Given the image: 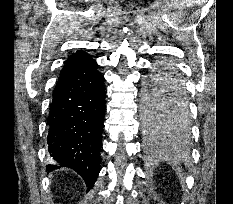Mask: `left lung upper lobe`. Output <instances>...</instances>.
Segmentation results:
<instances>
[{
  "label": "left lung upper lobe",
  "mask_w": 233,
  "mask_h": 204,
  "mask_svg": "<svg viewBox=\"0 0 233 204\" xmlns=\"http://www.w3.org/2000/svg\"><path fill=\"white\" fill-rule=\"evenodd\" d=\"M142 94V116L145 129L170 127L186 131L190 126V111L185 88L160 81L158 70L148 77Z\"/></svg>",
  "instance_id": "1"
}]
</instances>
